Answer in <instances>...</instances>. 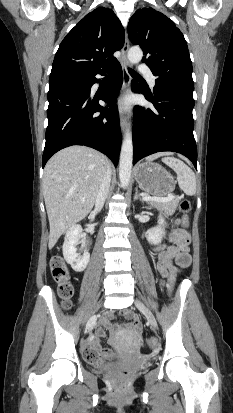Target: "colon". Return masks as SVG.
I'll return each instance as SVG.
<instances>
[{
    "instance_id": "1",
    "label": "colon",
    "mask_w": 233,
    "mask_h": 413,
    "mask_svg": "<svg viewBox=\"0 0 233 413\" xmlns=\"http://www.w3.org/2000/svg\"><path fill=\"white\" fill-rule=\"evenodd\" d=\"M180 211L182 213V226L184 229L188 226V213L190 211V202L186 199L181 200L179 204ZM183 229V230H184ZM51 274L54 280L58 283V292L63 300V306L69 308L71 305L70 299L74 293V286L70 280L68 269L60 257H54L50 263ZM175 285V276L169 279V291L172 293ZM148 346L153 349L156 346L154 340H148ZM87 359L94 364H99L102 361V355L89 354Z\"/></svg>"
}]
</instances>
